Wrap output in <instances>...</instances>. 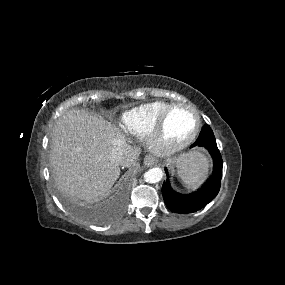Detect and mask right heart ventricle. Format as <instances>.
Instances as JSON below:
<instances>
[{
  "label": "right heart ventricle",
  "mask_w": 285,
  "mask_h": 285,
  "mask_svg": "<svg viewBox=\"0 0 285 285\" xmlns=\"http://www.w3.org/2000/svg\"><path fill=\"white\" fill-rule=\"evenodd\" d=\"M171 105L166 101H154L133 107L121 115L119 125L123 131L135 137L147 136Z\"/></svg>",
  "instance_id": "right-heart-ventricle-1"
}]
</instances>
